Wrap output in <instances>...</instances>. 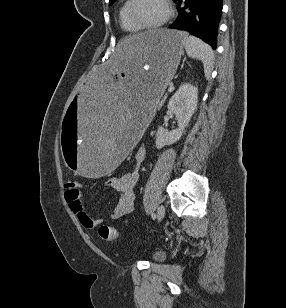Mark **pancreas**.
I'll list each match as a JSON object with an SVG mask.
<instances>
[{
	"instance_id": "cf45deb5",
	"label": "pancreas",
	"mask_w": 286,
	"mask_h": 308,
	"mask_svg": "<svg viewBox=\"0 0 286 308\" xmlns=\"http://www.w3.org/2000/svg\"><path fill=\"white\" fill-rule=\"evenodd\" d=\"M165 99V98H164ZM164 99L159 100L158 102H156L155 107H160L162 105V103L164 102Z\"/></svg>"
}]
</instances>
